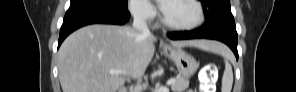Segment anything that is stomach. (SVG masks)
<instances>
[{
	"label": "stomach",
	"mask_w": 296,
	"mask_h": 92,
	"mask_svg": "<svg viewBox=\"0 0 296 92\" xmlns=\"http://www.w3.org/2000/svg\"><path fill=\"white\" fill-rule=\"evenodd\" d=\"M163 51L175 63L180 75L184 79H189L197 71L199 64L194 57L185 52L181 47H167Z\"/></svg>",
	"instance_id": "0dacf381"
}]
</instances>
